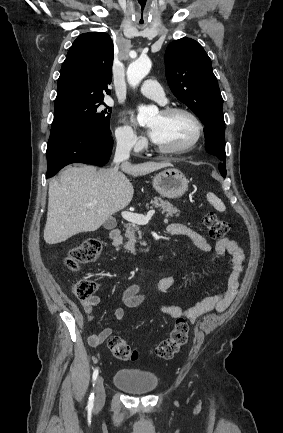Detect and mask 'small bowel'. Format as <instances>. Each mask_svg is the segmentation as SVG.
Instances as JSON below:
<instances>
[{
    "label": "small bowel",
    "instance_id": "1",
    "mask_svg": "<svg viewBox=\"0 0 283 433\" xmlns=\"http://www.w3.org/2000/svg\"><path fill=\"white\" fill-rule=\"evenodd\" d=\"M167 231L172 235H183L190 238L194 245L201 251H210L212 249V246L204 236L184 224L172 223L167 227ZM214 249L216 253L229 262L231 266L230 273L226 279V288L221 293L206 297L188 308H182L175 304L160 303L159 308L163 313L173 318L186 317L191 322H194L200 315L210 310L215 309L218 312H223L229 307L237 295L240 286V279L244 271V252L236 241L230 239L217 241ZM177 282L178 278L175 276L163 277L157 282L156 289L160 293L166 292L173 288ZM144 300L145 296L142 294L138 284L128 286L122 295V302L125 308L137 307L141 305ZM99 303L100 297L96 294H93L87 299L80 300L83 313L89 321H93L94 310ZM124 307H118L114 310L113 318L107 327L99 333H94L89 336L88 341L91 346L97 347L110 337L114 326L125 316ZM76 318L78 323H84V316L80 312L76 314Z\"/></svg>",
    "mask_w": 283,
    "mask_h": 433
}]
</instances>
